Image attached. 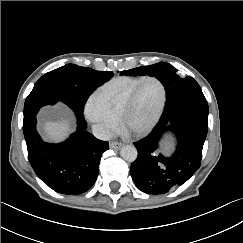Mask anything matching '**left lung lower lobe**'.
<instances>
[{
    "instance_id": "0a47b994",
    "label": "left lung lower lobe",
    "mask_w": 243,
    "mask_h": 243,
    "mask_svg": "<svg viewBox=\"0 0 243 243\" xmlns=\"http://www.w3.org/2000/svg\"><path fill=\"white\" fill-rule=\"evenodd\" d=\"M167 131L177 138L169 157L159 153V142ZM207 131L208 103L202 91L165 107L152 132L134 143L138 156L130 173L136 186L148 194H164L185 183L200 167Z\"/></svg>"
}]
</instances>
